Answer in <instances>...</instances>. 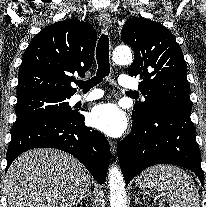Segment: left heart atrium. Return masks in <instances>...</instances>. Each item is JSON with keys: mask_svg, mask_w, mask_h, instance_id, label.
Listing matches in <instances>:
<instances>
[{"mask_svg": "<svg viewBox=\"0 0 206 207\" xmlns=\"http://www.w3.org/2000/svg\"><path fill=\"white\" fill-rule=\"evenodd\" d=\"M89 119L92 126L111 137L122 136L128 128L125 112L115 103L96 105Z\"/></svg>", "mask_w": 206, "mask_h": 207, "instance_id": "39dd6f15", "label": "left heart atrium"}]
</instances>
